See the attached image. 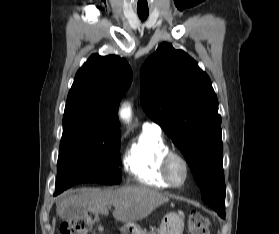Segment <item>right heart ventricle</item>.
I'll use <instances>...</instances> for the list:
<instances>
[{"instance_id":"e07e8e85","label":"right heart ventricle","mask_w":279,"mask_h":234,"mask_svg":"<svg viewBox=\"0 0 279 234\" xmlns=\"http://www.w3.org/2000/svg\"><path fill=\"white\" fill-rule=\"evenodd\" d=\"M170 150L159 132L144 130L126 150L123 164L126 172L139 183L154 188H169L161 171L163 156Z\"/></svg>"}]
</instances>
